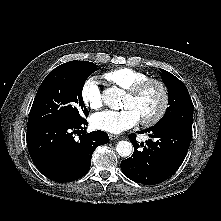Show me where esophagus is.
<instances>
[{
	"mask_svg": "<svg viewBox=\"0 0 221 221\" xmlns=\"http://www.w3.org/2000/svg\"><path fill=\"white\" fill-rule=\"evenodd\" d=\"M109 138H110V140H117L118 138H119V136L118 135H115V134H109Z\"/></svg>",
	"mask_w": 221,
	"mask_h": 221,
	"instance_id": "1",
	"label": "esophagus"
}]
</instances>
